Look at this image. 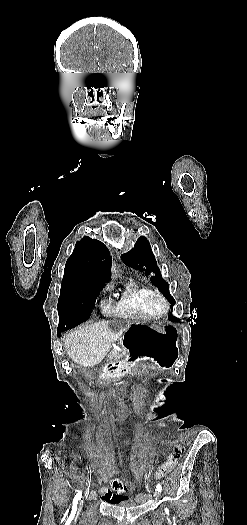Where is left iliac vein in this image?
I'll use <instances>...</instances> for the list:
<instances>
[{
	"label": "left iliac vein",
	"instance_id": "1",
	"mask_svg": "<svg viewBox=\"0 0 247 525\" xmlns=\"http://www.w3.org/2000/svg\"><path fill=\"white\" fill-rule=\"evenodd\" d=\"M154 495H155V497L158 498V497H160V492L158 490H155Z\"/></svg>",
	"mask_w": 247,
	"mask_h": 525
}]
</instances>
